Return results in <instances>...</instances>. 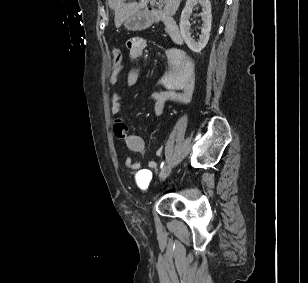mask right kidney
Returning a JSON list of instances; mask_svg holds the SVG:
<instances>
[{
  "label": "right kidney",
  "instance_id": "obj_1",
  "mask_svg": "<svg viewBox=\"0 0 308 283\" xmlns=\"http://www.w3.org/2000/svg\"><path fill=\"white\" fill-rule=\"evenodd\" d=\"M199 3L202 6V13L200 16L202 17V28L201 34L199 36V40L195 41V39L191 36L190 33V16L192 14L193 7ZM212 25V14H211V3L209 0H187L186 5L181 13L180 18V33L182 35L183 40L187 44V46L195 53H200L203 48L208 43L210 37Z\"/></svg>",
  "mask_w": 308,
  "mask_h": 283
}]
</instances>
